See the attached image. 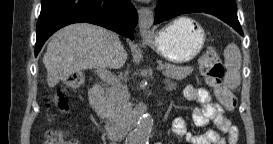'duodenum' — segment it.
I'll return each instance as SVG.
<instances>
[{
    "mask_svg": "<svg viewBox=\"0 0 273 144\" xmlns=\"http://www.w3.org/2000/svg\"><path fill=\"white\" fill-rule=\"evenodd\" d=\"M104 91L101 85H94L89 93V103L93 112V125L95 129L104 134L109 140L114 142L121 141L131 126L137 125L142 116L145 114L144 107H138L127 119L121 124H113L105 122L102 118L105 111Z\"/></svg>",
    "mask_w": 273,
    "mask_h": 144,
    "instance_id": "410a0bca",
    "label": "duodenum"
}]
</instances>
